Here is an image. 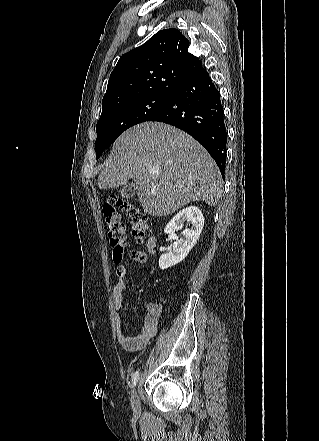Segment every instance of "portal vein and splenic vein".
Wrapping results in <instances>:
<instances>
[{
	"instance_id": "18ae733b",
	"label": "portal vein and splenic vein",
	"mask_w": 319,
	"mask_h": 441,
	"mask_svg": "<svg viewBox=\"0 0 319 441\" xmlns=\"http://www.w3.org/2000/svg\"><path fill=\"white\" fill-rule=\"evenodd\" d=\"M156 171L152 170L151 173H155Z\"/></svg>"
}]
</instances>
